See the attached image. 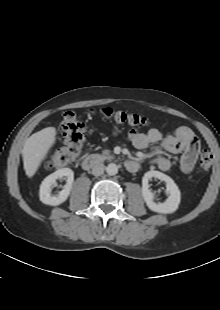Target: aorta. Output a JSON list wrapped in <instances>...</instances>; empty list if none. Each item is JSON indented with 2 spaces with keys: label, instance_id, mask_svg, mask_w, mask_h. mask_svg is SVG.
<instances>
[{
  "label": "aorta",
  "instance_id": "762f6f07",
  "mask_svg": "<svg viewBox=\"0 0 220 310\" xmlns=\"http://www.w3.org/2000/svg\"><path fill=\"white\" fill-rule=\"evenodd\" d=\"M106 172L110 176L116 175L118 173V166L115 163H110L106 167Z\"/></svg>",
  "mask_w": 220,
  "mask_h": 310
}]
</instances>
